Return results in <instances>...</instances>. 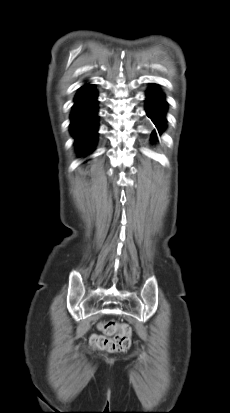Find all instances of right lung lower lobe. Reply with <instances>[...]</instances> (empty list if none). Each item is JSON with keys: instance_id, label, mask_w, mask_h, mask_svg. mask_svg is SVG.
Returning <instances> with one entry per match:
<instances>
[{"instance_id": "98d812e1", "label": "right lung lower lobe", "mask_w": 230, "mask_h": 413, "mask_svg": "<svg viewBox=\"0 0 230 413\" xmlns=\"http://www.w3.org/2000/svg\"><path fill=\"white\" fill-rule=\"evenodd\" d=\"M97 91L93 85L82 86L75 96L70 131L81 156L94 150L98 129Z\"/></svg>"}]
</instances>
